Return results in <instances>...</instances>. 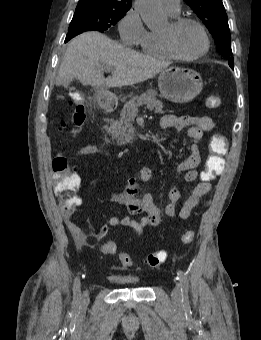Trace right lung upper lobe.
<instances>
[{"instance_id": "1", "label": "right lung upper lobe", "mask_w": 261, "mask_h": 340, "mask_svg": "<svg viewBox=\"0 0 261 340\" xmlns=\"http://www.w3.org/2000/svg\"><path fill=\"white\" fill-rule=\"evenodd\" d=\"M78 4L118 6V7H124V8L130 9L132 0H79Z\"/></svg>"}]
</instances>
